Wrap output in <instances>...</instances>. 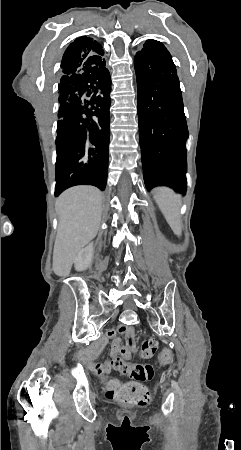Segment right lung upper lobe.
Listing matches in <instances>:
<instances>
[{
	"label": "right lung upper lobe",
	"instance_id": "1",
	"mask_svg": "<svg viewBox=\"0 0 241 450\" xmlns=\"http://www.w3.org/2000/svg\"><path fill=\"white\" fill-rule=\"evenodd\" d=\"M102 45L90 37L82 36L66 49L61 63V75L77 72L82 67L98 66L104 61Z\"/></svg>",
	"mask_w": 241,
	"mask_h": 450
}]
</instances>
